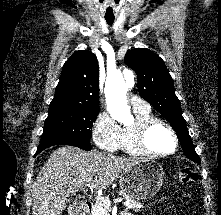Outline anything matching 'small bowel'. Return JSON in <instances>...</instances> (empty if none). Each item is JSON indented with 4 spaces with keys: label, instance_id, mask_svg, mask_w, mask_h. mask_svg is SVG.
I'll use <instances>...</instances> for the list:
<instances>
[{
    "label": "small bowel",
    "instance_id": "small-bowel-1",
    "mask_svg": "<svg viewBox=\"0 0 221 215\" xmlns=\"http://www.w3.org/2000/svg\"><path fill=\"white\" fill-rule=\"evenodd\" d=\"M123 215H132V214H130V213H125V212H124Z\"/></svg>",
    "mask_w": 221,
    "mask_h": 215
}]
</instances>
